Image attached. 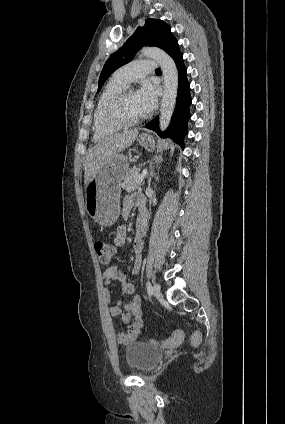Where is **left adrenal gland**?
I'll return each instance as SVG.
<instances>
[{"instance_id":"1","label":"left adrenal gland","mask_w":285,"mask_h":424,"mask_svg":"<svg viewBox=\"0 0 285 424\" xmlns=\"http://www.w3.org/2000/svg\"><path fill=\"white\" fill-rule=\"evenodd\" d=\"M156 161H159V160H156ZM161 161V160H160ZM155 175V172H154V170H153V167H152V169H151V171H150V178H149V183H150V181H151V179H152V177Z\"/></svg>"}]
</instances>
